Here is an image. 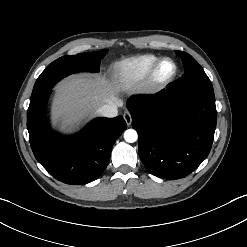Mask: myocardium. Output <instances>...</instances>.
Masks as SVG:
<instances>
[{"label":"myocardium","mask_w":247,"mask_h":247,"mask_svg":"<svg viewBox=\"0 0 247 247\" xmlns=\"http://www.w3.org/2000/svg\"><path fill=\"white\" fill-rule=\"evenodd\" d=\"M165 61L172 62L175 66V70H174V73L168 79L162 81L157 78V73H158L159 67ZM178 74H179V66L174 59L170 57H163L159 59L156 62V64L153 66V68L151 69L148 77L146 78V82H145L146 92L157 93V92L164 90L176 80Z\"/></svg>","instance_id":"f54148a6"}]
</instances>
